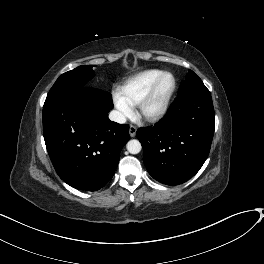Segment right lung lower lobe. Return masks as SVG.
<instances>
[{
  "mask_svg": "<svg viewBox=\"0 0 264 264\" xmlns=\"http://www.w3.org/2000/svg\"><path fill=\"white\" fill-rule=\"evenodd\" d=\"M111 94L82 87L44 105L43 135L59 177L78 190L96 191L114 175L129 126L112 122Z\"/></svg>",
  "mask_w": 264,
  "mask_h": 264,
  "instance_id": "obj_1",
  "label": "right lung lower lobe"
}]
</instances>
